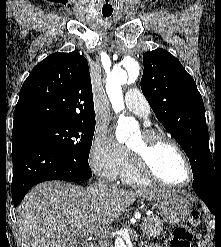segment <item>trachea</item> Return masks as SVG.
<instances>
[{"mask_svg":"<svg viewBox=\"0 0 221 247\" xmlns=\"http://www.w3.org/2000/svg\"><path fill=\"white\" fill-rule=\"evenodd\" d=\"M111 14H103L104 17H110Z\"/></svg>","mask_w":221,"mask_h":247,"instance_id":"1","label":"trachea"}]
</instances>
